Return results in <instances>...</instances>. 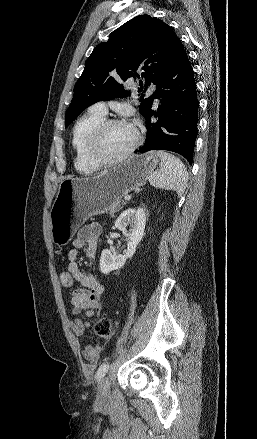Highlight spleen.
<instances>
[{"instance_id": "spleen-1", "label": "spleen", "mask_w": 257, "mask_h": 439, "mask_svg": "<svg viewBox=\"0 0 257 439\" xmlns=\"http://www.w3.org/2000/svg\"><path fill=\"white\" fill-rule=\"evenodd\" d=\"M160 158V169L151 173L149 182L152 186L165 190L176 191L182 196L188 181V173L179 158L165 152L157 151Z\"/></svg>"}]
</instances>
